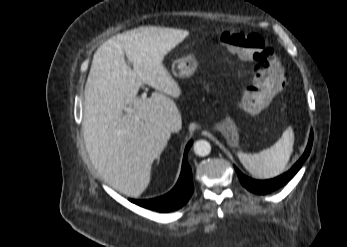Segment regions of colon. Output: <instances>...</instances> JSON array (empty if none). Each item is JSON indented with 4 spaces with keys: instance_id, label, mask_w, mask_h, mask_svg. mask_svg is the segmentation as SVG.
Listing matches in <instances>:
<instances>
[{
    "instance_id": "colon-1",
    "label": "colon",
    "mask_w": 347,
    "mask_h": 247,
    "mask_svg": "<svg viewBox=\"0 0 347 247\" xmlns=\"http://www.w3.org/2000/svg\"><path fill=\"white\" fill-rule=\"evenodd\" d=\"M218 41L240 59L251 63L254 80L243 97L238 100L241 110L256 112L265 106L269 97L278 93L285 84L284 70L274 49L266 45L256 33L240 30L223 31L216 35Z\"/></svg>"
}]
</instances>
